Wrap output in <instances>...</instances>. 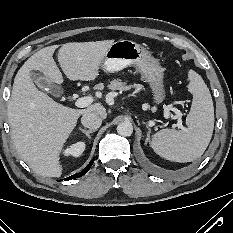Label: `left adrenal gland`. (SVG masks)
I'll use <instances>...</instances> for the list:
<instances>
[{
  "instance_id": "1",
  "label": "left adrenal gland",
  "mask_w": 233,
  "mask_h": 233,
  "mask_svg": "<svg viewBox=\"0 0 233 233\" xmlns=\"http://www.w3.org/2000/svg\"><path fill=\"white\" fill-rule=\"evenodd\" d=\"M148 128V127H147ZM146 141H150V129L148 128Z\"/></svg>"
}]
</instances>
